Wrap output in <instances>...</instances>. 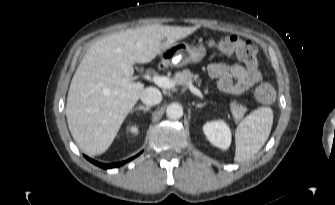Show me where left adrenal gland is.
<instances>
[{"label":"left adrenal gland","mask_w":335,"mask_h":205,"mask_svg":"<svg viewBox=\"0 0 335 205\" xmlns=\"http://www.w3.org/2000/svg\"><path fill=\"white\" fill-rule=\"evenodd\" d=\"M206 105V103H200V104H196V108H202Z\"/></svg>","instance_id":"left-adrenal-gland-1"}]
</instances>
